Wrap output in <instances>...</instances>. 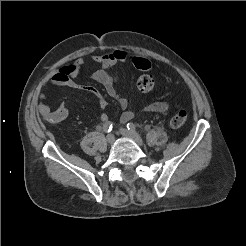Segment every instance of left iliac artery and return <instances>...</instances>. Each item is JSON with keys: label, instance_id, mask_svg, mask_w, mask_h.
Wrapping results in <instances>:
<instances>
[{"label": "left iliac artery", "instance_id": "obj_1", "mask_svg": "<svg viewBox=\"0 0 246 246\" xmlns=\"http://www.w3.org/2000/svg\"><path fill=\"white\" fill-rule=\"evenodd\" d=\"M127 129L131 132H136V127L133 123H128L127 124Z\"/></svg>", "mask_w": 246, "mask_h": 246}]
</instances>
